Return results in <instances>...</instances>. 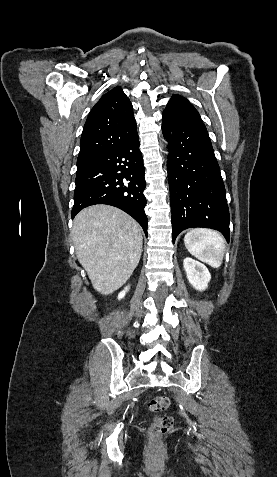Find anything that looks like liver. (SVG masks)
I'll list each match as a JSON object with an SVG mask.
<instances>
[{
  "mask_svg": "<svg viewBox=\"0 0 277 477\" xmlns=\"http://www.w3.org/2000/svg\"><path fill=\"white\" fill-rule=\"evenodd\" d=\"M72 236L80 264L102 295L125 284L139 263L141 227L118 208L99 204L83 209L74 218Z\"/></svg>",
  "mask_w": 277,
  "mask_h": 477,
  "instance_id": "1",
  "label": "liver"
}]
</instances>
